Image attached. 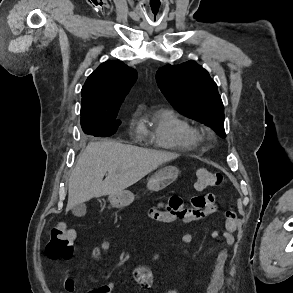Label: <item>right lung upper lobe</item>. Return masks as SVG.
<instances>
[{
  "mask_svg": "<svg viewBox=\"0 0 293 293\" xmlns=\"http://www.w3.org/2000/svg\"><path fill=\"white\" fill-rule=\"evenodd\" d=\"M137 71L120 61L102 63L86 80L81 93V116L118 112Z\"/></svg>",
  "mask_w": 293,
  "mask_h": 293,
  "instance_id": "right-lung-upper-lobe-1",
  "label": "right lung upper lobe"
}]
</instances>
